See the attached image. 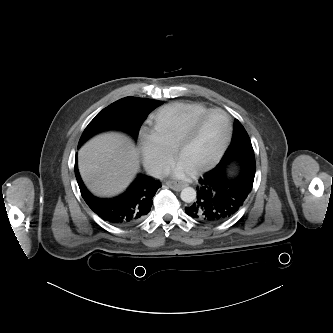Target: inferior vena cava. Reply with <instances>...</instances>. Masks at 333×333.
<instances>
[{"label":"inferior vena cava","instance_id":"1","mask_svg":"<svg viewBox=\"0 0 333 333\" xmlns=\"http://www.w3.org/2000/svg\"><path fill=\"white\" fill-rule=\"evenodd\" d=\"M150 174L155 178L162 179L168 175V170L164 167L156 166L151 169Z\"/></svg>","mask_w":333,"mask_h":333}]
</instances>
